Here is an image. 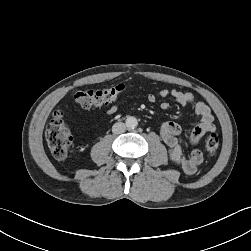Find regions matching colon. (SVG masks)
Masks as SVG:
<instances>
[{"mask_svg":"<svg viewBox=\"0 0 251 251\" xmlns=\"http://www.w3.org/2000/svg\"><path fill=\"white\" fill-rule=\"evenodd\" d=\"M125 86V83H119L108 88L79 91L74 98L84 109L100 107L113 101L125 89ZM45 136L54 158L57 160L65 159L72 145V136L61 112H54L47 125ZM219 144V137L216 133H210L207 136L205 148L209 156L216 155Z\"/></svg>","mask_w":251,"mask_h":251,"instance_id":"obj_1","label":"colon"}]
</instances>
